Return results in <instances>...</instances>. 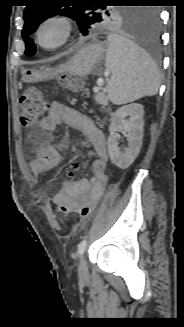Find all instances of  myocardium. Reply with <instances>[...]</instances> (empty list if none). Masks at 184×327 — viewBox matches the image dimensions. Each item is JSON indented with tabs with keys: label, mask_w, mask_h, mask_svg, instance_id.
Returning <instances> with one entry per match:
<instances>
[{
	"label": "myocardium",
	"mask_w": 184,
	"mask_h": 327,
	"mask_svg": "<svg viewBox=\"0 0 184 327\" xmlns=\"http://www.w3.org/2000/svg\"><path fill=\"white\" fill-rule=\"evenodd\" d=\"M59 24L62 28V36L61 39L53 44V45H45L43 44L42 40H41V33L42 30L45 26L49 25V24ZM73 34V24L72 21L69 17L64 16V15H50L46 18H44L37 26L36 31H35V38H36V42L38 44L39 47H41L42 49L45 50H55L58 49L62 46H64L72 37Z\"/></svg>",
	"instance_id": "1"
}]
</instances>
